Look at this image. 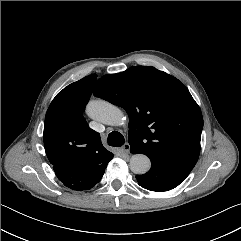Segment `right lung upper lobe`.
<instances>
[{"instance_id": "obj_1", "label": "right lung upper lobe", "mask_w": 241, "mask_h": 241, "mask_svg": "<svg viewBox=\"0 0 241 241\" xmlns=\"http://www.w3.org/2000/svg\"><path fill=\"white\" fill-rule=\"evenodd\" d=\"M97 75L92 74L60 91L45 117L44 147L52 165L81 163L105 166L113 154L105 149L100 135L89 128L83 111Z\"/></svg>"}]
</instances>
